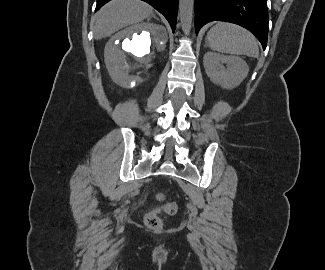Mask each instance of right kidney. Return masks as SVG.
<instances>
[{"label": "right kidney", "mask_w": 325, "mask_h": 270, "mask_svg": "<svg viewBox=\"0 0 325 270\" xmlns=\"http://www.w3.org/2000/svg\"><path fill=\"white\" fill-rule=\"evenodd\" d=\"M167 40L165 28L152 23L133 25L112 36L104 50L112 80L124 88L147 81L157 60L156 52L165 49Z\"/></svg>", "instance_id": "1"}]
</instances>
